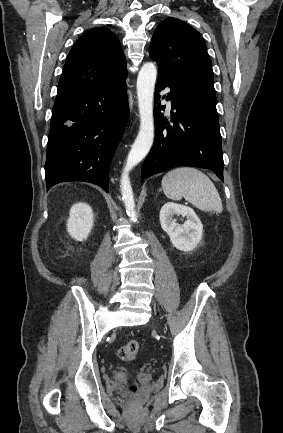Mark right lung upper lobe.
<instances>
[{"label": "right lung upper lobe", "instance_id": "cb5924a9", "mask_svg": "<svg viewBox=\"0 0 283 433\" xmlns=\"http://www.w3.org/2000/svg\"><path fill=\"white\" fill-rule=\"evenodd\" d=\"M126 76L125 56L118 38L105 27L92 28L69 52L57 97L110 86Z\"/></svg>", "mask_w": 283, "mask_h": 433}]
</instances>
